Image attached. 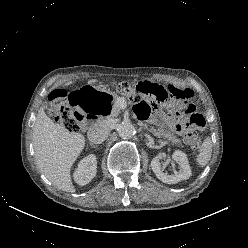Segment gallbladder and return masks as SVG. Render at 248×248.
Masks as SVG:
<instances>
[{"label":"gallbladder","instance_id":"1","mask_svg":"<svg viewBox=\"0 0 248 248\" xmlns=\"http://www.w3.org/2000/svg\"><path fill=\"white\" fill-rule=\"evenodd\" d=\"M43 107H44L45 109H48V108H49L48 103H47V102H45V103L43 104Z\"/></svg>","mask_w":248,"mask_h":248}]
</instances>
